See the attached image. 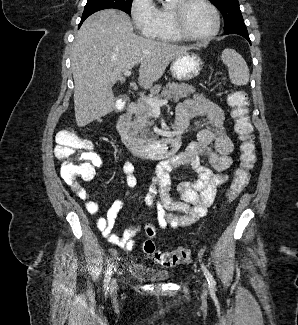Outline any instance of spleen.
I'll use <instances>...</instances> for the list:
<instances>
[{"instance_id":"3e777b00","label":"spleen","mask_w":298,"mask_h":325,"mask_svg":"<svg viewBox=\"0 0 298 325\" xmlns=\"http://www.w3.org/2000/svg\"><path fill=\"white\" fill-rule=\"evenodd\" d=\"M221 58L222 62L228 66L230 82L238 84V86L249 82L250 72L248 64L237 50H234V48H224Z\"/></svg>"}]
</instances>
